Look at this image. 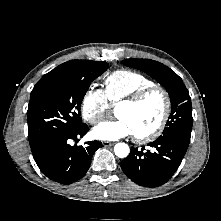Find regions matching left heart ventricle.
Listing matches in <instances>:
<instances>
[{
    "label": "left heart ventricle",
    "instance_id": "1",
    "mask_svg": "<svg viewBox=\"0 0 221 221\" xmlns=\"http://www.w3.org/2000/svg\"><path fill=\"white\" fill-rule=\"evenodd\" d=\"M164 109L161 94L154 93L138 106L122 105L115 108V115L128 122L133 134H146L159 123Z\"/></svg>",
    "mask_w": 221,
    "mask_h": 221
}]
</instances>
